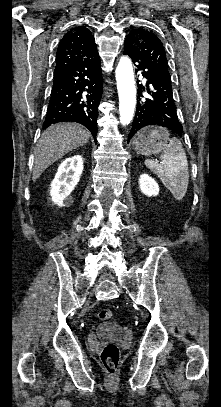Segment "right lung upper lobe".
I'll list each match as a JSON object with an SVG mask.
<instances>
[{"instance_id":"obj_1","label":"right lung upper lobe","mask_w":221,"mask_h":407,"mask_svg":"<svg viewBox=\"0 0 221 407\" xmlns=\"http://www.w3.org/2000/svg\"><path fill=\"white\" fill-rule=\"evenodd\" d=\"M96 49L95 38L89 29L84 26L72 28L58 45L54 73L89 58Z\"/></svg>"}]
</instances>
